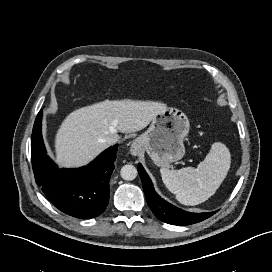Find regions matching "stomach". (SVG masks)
I'll return each instance as SVG.
<instances>
[{"mask_svg":"<svg viewBox=\"0 0 272 272\" xmlns=\"http://www.w3.org/2000/svg\"><path fill=\"white\" fill-rule=\"evenodd\" d=\"M189 128V120L181 110L166 108L155 116L149 128L135 140L134 147L146 151L157 166L168 167L184 156L183 141Z\"/></svg>","mask_w":272,"mask_h":272,"instance_id":"stomach-1","label":"stomach"}]
</instances>
